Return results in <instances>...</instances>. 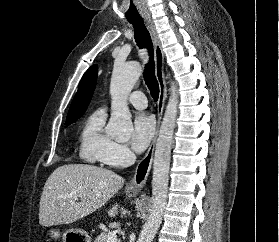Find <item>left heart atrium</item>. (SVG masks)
Returning <instances> with one entry per match:
<instances>
[{"label": "left heart atrium", "mask_w": 279, "mask_h": 242, "mask_svg": "<svg viewBox=\"0 0 279 242\" xmlns=\"http://www.w3.org/2000/svg\"><path fill=\"white\" fill-rule=\"evenodd\" d=\"M155 133L154 118L147 113H139L133 123L131 145L136 152L144 151Z\"/></svg>", "instance_id": "left-heart-atrium-1"}]
</instances>
